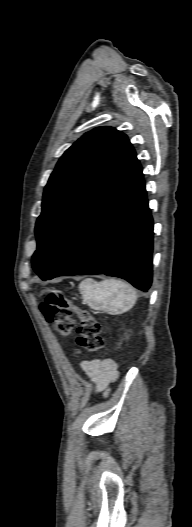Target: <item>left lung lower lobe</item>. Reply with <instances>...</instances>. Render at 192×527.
Segmentation results:
<instances>
[{
	"mask_svg": "<svg viewBox=\"0 0 192 527\" xmlns=\"http://www.w3.org/2000/svg\"><path fill=\"white\" fill-rule=\"evenodd\" d=\"M153 220L137 161L79 228L42 280L105 274L147 291L152 282Z\"/></svg>",
	"mask_w": 192,
	"mask_h": 527,
	"instance_id": "1",
	"label": "left lung lower lobe"
}]
</instances>
